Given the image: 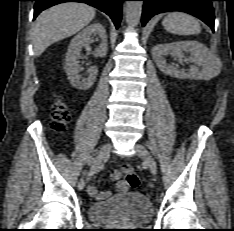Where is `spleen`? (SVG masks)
I'll list each match as a JSON object with an SVG mask.
<instances>
[{
  "mask_svg": "<svg viewBox=\"0 0 234 231\" xmlns=\"http://www.w3.org/2000/svg\"><path fill=\"white\" fill-rule=\"evenodd\" d=\"M164 29L177 35H195L200 33L199 21L186 13L171 12L162 21Z\"/></svg>",
  "mask_w": 234,
  "mask_h": 231,
  "instance_id": "spleen-1",
  "label": "spleen"
}]
</instances>
